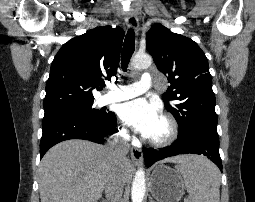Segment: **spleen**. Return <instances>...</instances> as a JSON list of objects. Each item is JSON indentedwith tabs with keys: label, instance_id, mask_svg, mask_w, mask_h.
I'll return each mask as SVG.
<instances>
[{
	"label": "spleen",
	"instance_id": "obj_1",
	"mask_svg": "<svg viewBox=\"0 0 255 202\" xmlns=\"http://www.w3.org/2000/svg\"><path fill=\"white\" fill-rule=\"evenodd\" d=\"M175 168L182 174L189 194L185 202H219L220 172L211 161L189 156Z\"/></svg>",
	"mask_w": 255,
	"mask_h": 202
}]
</instances>
